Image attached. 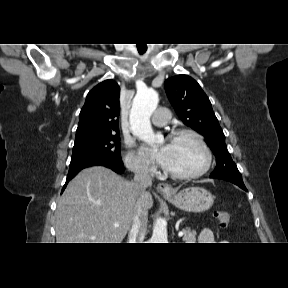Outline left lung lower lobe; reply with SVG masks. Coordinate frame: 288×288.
I'll use <instances>...</instances> for the list:
<instances>
[{"label": "left lung lower lobe", "instance_id": "obj_1", "mask_svg": "<svg viewBox=\"0 0 288 288\" xmlns=\"http://www.w3.org/2000/svg\"><path fill=\"white\" fill-rule=\"evenodd\" d=\"M231 182V181H230ZM233 184L239 186L240 188H242L243 190L247 191L245 185L243 182H232Z\"/></svg>", "mask_w": 288, "mask_h": 288}]
</instances>
